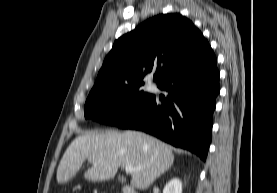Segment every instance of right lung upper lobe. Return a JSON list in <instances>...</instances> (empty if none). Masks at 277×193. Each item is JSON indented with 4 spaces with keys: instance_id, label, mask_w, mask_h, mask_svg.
Segmentation results:
<instances>
[{
    "instance_id": "obj_1",
    "label": "right lung upper lobe",
    "mask_w": 277,
    "mask_h": 193,
    "mask_svg": "<svg viewBox=\"0 0 277 193\" xmlns=\"http://www.w3.org/2000/svg\"><path fill=\"white\" fill-rule=\"evenodd\" d=\"M211 50L200 30L181 14L154 16L114 42L90 94L142 85L152 71L159 85Z\"/></svg>"
}]
</instances>
